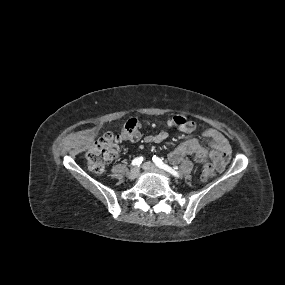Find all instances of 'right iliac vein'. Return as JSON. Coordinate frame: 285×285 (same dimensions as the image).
<instances>
[{"label": "right iliac vein", "mask_w": 285, "mask_h": 285, "mask_svg": "<svg viewBox=\"0 0 285 285\" xmlns=\"http://www.w3.org/2000/svg\"><path fill=\"white\" fill-rule=\"evenodd\" d=\"M139 175V168L138 167H134L130 170V172L128 173V178L131 180H134L138 177Z\"/></svg>", "instance_id": "1"}]
</instances>
